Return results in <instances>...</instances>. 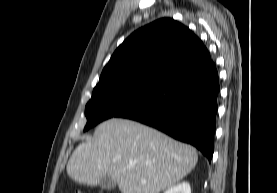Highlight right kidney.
I'll return each mask as SVG.
<instances>
[{"instance_id": "obj_1", "label": "right kidney", "mask_w": 277, "mask_h": 193, "mask_svg": "<svg viewBox=\"0 0 277 193\" xmlns=\"http://www.w3.org/2000/svg\"><path fill=\"white\" fill-rule=\"evenodd\" d=\"M164 193H191V188L188 182H181L169 188Z\"/></svg>"}]
</instances>
